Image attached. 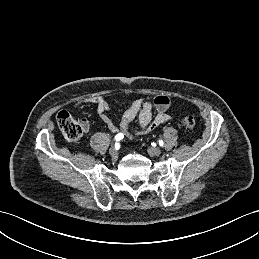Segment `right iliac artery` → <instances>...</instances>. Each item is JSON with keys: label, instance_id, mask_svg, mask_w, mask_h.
Returning <instances> with one entry per match:
<instances>
[{"label": "right iliac artery", "instance_id": "right-iliac-artery-1", "mask_svg": "<svg viewBox=\"0 0 259 259\" xmlns=\"http://www.w3.org/2000/svg\"><path fill=\"white\" fill-rule=\"evenodd\" d=\"M123 138H124V135H123L122 133H119V134H117V135L115 136V140H116V141H119V140H121V139H123ZM115 146H118V144L116 143Z\"/></svg>", "mask_w": 259, "mask_h": 259}]
</instances>
